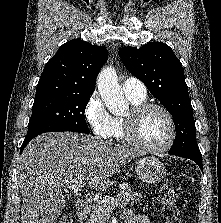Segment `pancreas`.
Instances as JSON below:
<instances>
[{
  "label": "pancreas",
  "mask_w": 221,
  "mask_h": 223,
  "mask_svg": "<svg viewBox=\"0 0 221 223\" xmlns=\"http://www.w3.org/2000/svg\"><path fill=\"white\" fill-rule=\"evenodd\" d=\"M124 185V190L118 196L119 203L121 207L133 206L137 202L138 196L132 192L127 183H124ZM111 209L109 197H103L93 204L87 223H107Z\"/></svg>",
  "instance_id": "pancreas-1"
}]
</instances>
